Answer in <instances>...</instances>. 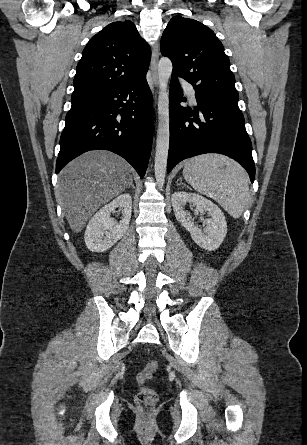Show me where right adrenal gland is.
<instances>
[{"label":"right adrenal gland","mask_w":307,"mask_h":445,"mask_svg":"<svg viewBox=\"0 0 307 445\" xmlns=\"http://www.w3.org/2000/svg\"><path fill=\"white\" fill-rule=\"evenodd\" d=\"M131 180H130V184H128L127 188H130V186H132V188H135L134 184H133V178L132 176H130Z\"/></svg>","instance_id":"obj_1"}]
</instances>
